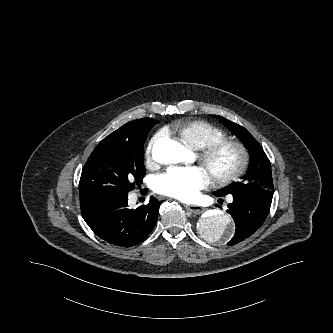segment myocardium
Returning a JSON list of instances; mask_svg holds the SVG:
<instances>
[{"instance_id": "1", "label": "myocardium", "mask_w": 333, "mask_h": 333, "mask_svg": "<svg viewBox=\"0 0 333 333\" xmlns=\"http://www.w3.org/2000/svg\"><path fill=\"white\" fill-rule=\"evenodd\" d=\"M198 159L203 165L209 164L219 153L232 150L236 160L224 170H211L210 178L216 184H229L240 178L247 170L250 162L249 151L246 146L236 140L224 139L199 148Z\"/></svg>"}]
</instances>
